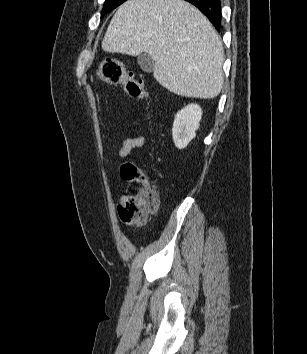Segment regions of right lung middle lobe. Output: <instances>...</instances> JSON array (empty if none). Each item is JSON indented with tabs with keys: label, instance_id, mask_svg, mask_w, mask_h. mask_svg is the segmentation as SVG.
<instances>
[{
	"label": "right lung middle lobe",
	"instance_id": "1",
	"mask_svg": "<svg viewBox=\"0 0 307 354\" xmlns=\"http://www.w3.org/2000/svg\"><path fill=\"white\" fill-rule=\"evenodd\" d=\"M126 0H106L104 3V7L101 13V18L107 14L108 12H110L111 10H113L114 8L118 7L120 4H122L123 2H125Z\"/></svg>",
	"mask_w": 307,
	"mask_h": 354
}]
</instances>
